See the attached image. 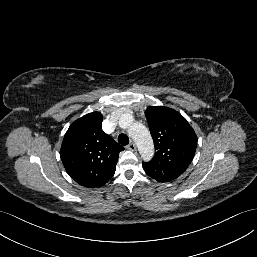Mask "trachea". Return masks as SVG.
<instances>
[{"instance_id":"3493384b","label":"trachea","mask_w":257,"mask_h":257,"mask_svg":"<svg viewBox=\"0 0 257 257\" xmlns=\"http://www.w3.org/2000/svg\"><path fill=\"white\" fill-rule=\"evenodd\" d=\"M118 142L123 145V146H126L127 144H129V138L126 134L124 133H121L119 136H118Z\"/></svg>"}]
</instances>
